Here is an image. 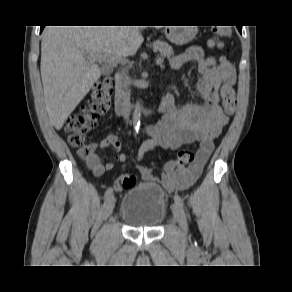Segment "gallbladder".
<instances>
[{"instance_id": "obj_1", "label": "gallbladder", "mask_w": 292, "mask_h": 292, "mask_svg": "<svg viewBox=\"0 0 292 292\" xmlns=\"http://www.w3.org/2000/svg\"><path fill=\"white\" fill-rule=\"evenodd\" d=\"M103 73H106L104 69H103Z\"/></svg>"}]
</instances>
